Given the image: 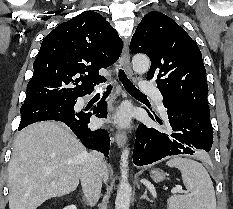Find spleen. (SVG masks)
Returning a JSON list of instances; mask_svg holds the SVG:
<instances>
[{
    "label": "spleen",
    "mask_w": 233,
    "mask_h": 209,
    "mask_svg": "<svg viewBox=\"0 0 233 209\" xmlns=\"http://www.w3.org/2000/svg\"><path fill=\"white\" fill-rule=\"evenodd\" d=\"M169 167L178 168L182 174L187 195H173L167 200L168 209H216L213 182L202 164L175 157L167 161Z\"/></svg>",
    "instance_id": "obj_1"
}]
</instances>
